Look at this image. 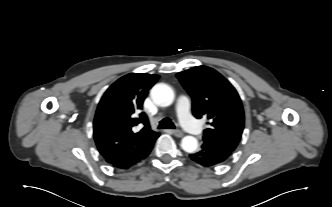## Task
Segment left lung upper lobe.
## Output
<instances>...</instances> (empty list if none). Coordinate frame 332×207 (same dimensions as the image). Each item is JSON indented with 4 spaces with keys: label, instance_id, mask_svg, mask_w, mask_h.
Segmentation results:
<instances>
[{
    "label": "left lung upper lobe",
    "instance_id": "obj_1",
    "mask_svg": "<svg viewBox=\"0 0 332 207\" xmlns=\"http://www.w3.org/2000/svg\"><path fill=\"white\" fill-rule=\"evenodd\" d=\"M176 76L192 97L193 115L208 119L210 127L204 130L203 141L234 151L244 128L243 106L235 88L207 66H196Z\"/></svg>",
    "mask_w": 332,
    "mask_h": 207
}]
</instances>
